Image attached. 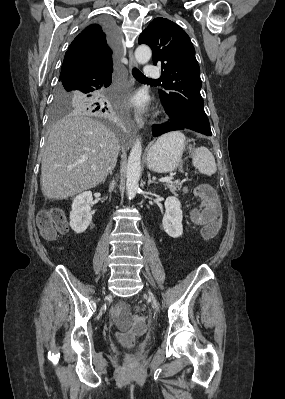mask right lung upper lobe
I'll use <instances>...</instances> for the list:
<instances>
[{
	"label": "right lung upper lobe",
	"mask_w": 285,
	"mask_h": 399,
	"mask_svg": "<svg viewBox=\"0 0 285 399\" xmlns=\"http://www.w3.org/2000/svg\"><path fill=\"white\" fill-rule=\"evenodd\" d=\"M114 49L108 41L101 24L87 26L71 43L67 50L60 79L83 67L104 69L113 65Z\"/></svg>",
	"instance_id": "obj_1"
}]
</instances>
